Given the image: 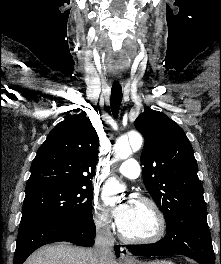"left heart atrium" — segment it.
<instances>
[{"label":"left heart atrium","mask_w":221,"mask_h":264,"mask_svg":"<svg viewBox=\"0 0 221 264\" xmlns=\"http://www.w3.org/2000/svg\"><path fill=\"white\" fill-rule=\"evenodd\" d=\"M132 202H125L113 209V216L119 227L123 226L132 213Z\"/></svg>","instance_id":"1"}]
</instances>
